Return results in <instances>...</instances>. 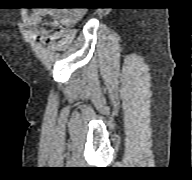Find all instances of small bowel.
<instances>
[{
    "instance_id": "c3829d8e",
    "label": "small bowel",
    "mask_w": 192,
    "mask_h": 180,
    "mask_svg": "<svg viewBox=\"0 0 192 180\" xmlns=\"http://www.w3.org/2000/svg\"><path fill=\"white\" fill-rule=\"evenodd\" d=\"M47 17H51L53 23L58 24L61 27H72L79 19L78 14L68 13L64 10L37 9L30 14L29 22L31 25L38 26ZM36 35L41 39L47 38L46 34L36 33Z\"/></svg>"
}]
</instances>
